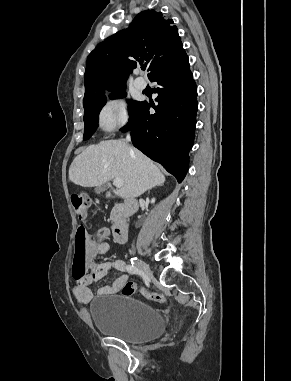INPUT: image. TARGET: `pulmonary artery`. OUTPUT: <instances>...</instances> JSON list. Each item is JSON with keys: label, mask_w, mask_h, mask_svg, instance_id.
I'll return each mask as SVG.
<instances>
[{"label": "pulmonary artery", "mask_w": 291, "mask_h": 381, "mask_svg": "<svg viewBox=\"0 0 291 381\" xmlns=\"http://www.w3.org/2000/svg\"><path fill=\"white\" fill-rule=\"evenodd\" d=\"M134 86L138 89V90H143L146 88V81L141 78V77H136L135 80H134Z\"/></svg>", "instance_id": "pulmonary-artery-1"}]
</instances>
